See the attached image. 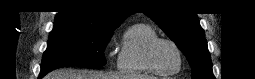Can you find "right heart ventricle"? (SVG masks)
<instances>
[{
  "label": "right heart ventricle",
  "mask_w": 255,
  "mask_h": 79,
  "mask_svg": "<svg viewBox=\"0 0 255 79\" xmlns=\"http://www.w3.org/2000/svg\"><path fill=\"white\" fill-rule=\"evenodd\" d=\"M157 37L155 29L148 24L137 23L130 26L119 52L120 71L134 75H154L146 63L145 53L148 44Z\"/></svg>",
  "instance_id": "1"
}]
</instances>
